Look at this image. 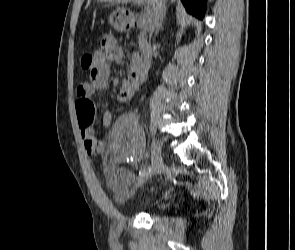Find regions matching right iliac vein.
Here are the masks:
<instances>
[{"label": "right iliac vein", "instance_id": "right-iliac-vein-1", "mask_svg": "<svg viewBox=\"0 0 295 250\" xmlns=\"http://www.w3.org/2000/svg\"><path fill=\"white\" fill-rule=\"evenodd\" d=\"M152 157L154 159L153 166H152L150 172L140 175V177L137 181L138 187L143 186L148 181V179H150L151 177H153L157 173H160L164 169V163H163V159L161 156V143L158 139L153 140Z\"/></svg>", "mask_w": 295, "mask_h": 250}]
</instances>
